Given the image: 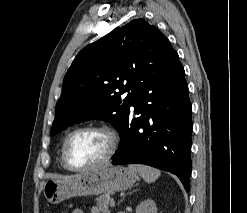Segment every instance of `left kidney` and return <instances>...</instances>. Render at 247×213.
<instances>
[{
    "instance_id": "left-kidney-1",
    "label": "left kidney",
    "mask_w": 247,
    "mask_h": 213,
    "mask_svg": "<svg viewBox=\"0 0 247 213\" xmlns=\"http://www.w3.org/2000/svg\"><path fill=\"white\" fill-rule=\"evenodd\" d=\"M136 213H157L156 204L153 200H145L136 207Z\"/></svg>"
}]
</instances>
